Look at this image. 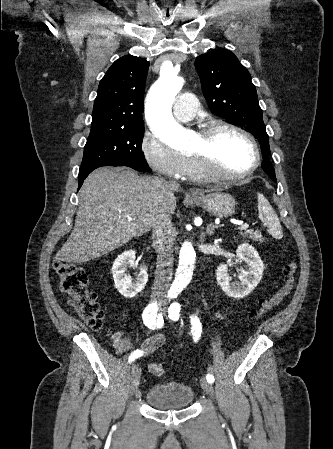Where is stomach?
<instances>
[{
    "instance_id": "0dacf381",
    "label": "stomach",
    "mask_w": 333,
    "mask_h": 449,
    "mask_svg": "<svg viewBox=\"0 0 333 449\" xmlns=\"http://www.w3.org/2000/svg\"><path fill=\"white\" fill-rule=\"evenodd\" d=\"M192 200L197 206L216 216L229 217L235 212V199L227 193L213 192Z\"/></svg>"
}]
</instances>
